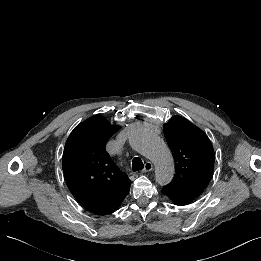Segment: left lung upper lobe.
<instances>
[{"label": "left lung upper lobe", "instance_id": "1", "mask_svg": "<svg viewBox=\"0 0 261 261\" xmlns=\"http://www.w3.org/2000/svg\"><path fill=\"white\" fill-rule=\"evenodd\" d=\"M163 131L176 166L172 182L164 187L195 199L212 177L213 146L201 129L180 116L164 124Z\"/></svg>", "mask_w": 261, "mask_h": 261}]
</instances>
